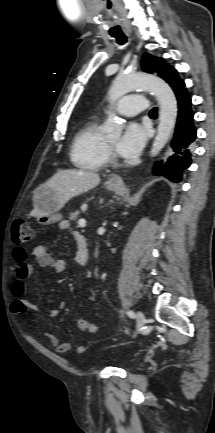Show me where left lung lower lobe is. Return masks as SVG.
I'll use <instances>...</instances> for the list:
<instances>
[{
	"mask_svg": "<svg viewBox=\"0 0 215 433\" xmlns=\"http://www.w3.org/2000/svg\"><path fill=\"white\" fill-rule=\"evenodd\" d=\"M169 84L178 101V119L171 143L174 153L165 163L156 164L154 175H162L170 181L178 183L181 181L182 171L191 164V144L196 138V128L193 124L194 113L191 110V96L185 88L184 81L177 77Z\"/></svg>",
	"mask_w": 215,
	"mask_h": 433,
	"instance_id": "0a47b994",
	"label": "left lung lower lobe"
}]
</instances>
